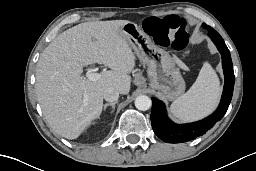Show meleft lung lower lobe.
Instances as JSON below:
<instances>
[{
  "instance_id": "obj_1",
  "label": "left lung lower lobe",
  "mask_w": 256,
  "mask_h": 171,
  "mask_svg": "<svg viewBox=\"0 0 256 171\" xmlns=\"http://www.w3.org/2000/svg\"><path fill=\"white\" fill-rule=\"evenodd\" d=\"M203 27L209 32V36L217 46L222 56V66L225 76V84L222 98L217 110L209 117L189 124H175L166 114L164 103L152 98L151 124L155 134L167 143H182L205 134L216 122L225 115L231 102L235 76L230 52L220 34L212 27L203 23Z\"/></svg>"
}]
</instances>
